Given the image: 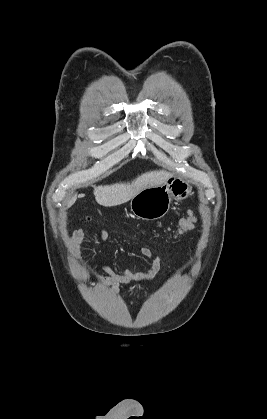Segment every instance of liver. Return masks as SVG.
<instances>
[{
    "label": "liver",
    "instance_id": "obj_1",
    "mask_svg": "<svg viewBox=\"0 0 267 419\" xmlns=\"http://www.w3.org/2000/svg\"><path fill=\"white\" fill-rule=\"evenodd\" d=\"M170 173L164 170L149 171L138 176L131 183H116L106 186H98L94 189L96 201L104 206H117L131 200L143 189L159 186L163 184ZM81 194L78 197H83ZM77 199L74 195L68 202L67 207H71Z\"/></svg>",
    "mask_w": 267,
    "mask_h": 419
}]
</instances>
